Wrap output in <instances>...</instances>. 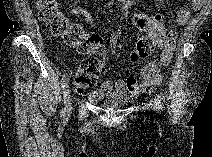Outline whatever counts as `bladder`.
Returning <instances> with one entry per match:
<instances>
[{
    "instance_id": "obj_1",
    "label": "bladder",
    "mask_w": 212,
    "mask_h": 157,
    "mask_svg": "<svg viewBox=\"0 0 212 157\" xmlns=\"http://www.w3.org/2000/svg\"><path fill=\"white\" fill-rule=\"evenodd\" d=\"M129 98L123 95L111 96L99 103L100 106L110 108V109H119L123 108L129 103Z\"/></svg>"
}]
</instances>
